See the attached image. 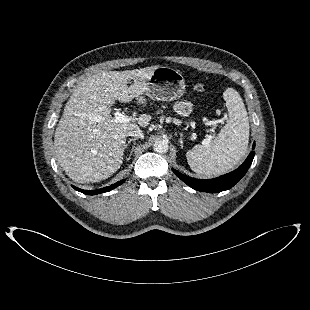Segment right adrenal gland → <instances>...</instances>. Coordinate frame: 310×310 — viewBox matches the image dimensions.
I'll list each match as a JSON object with an SVG mask.
<instances>
[{
	"instance_id": "2a0ac1e0",
	"label": "right adrenal gland",
	"mask_w": 310,
	"mask_h": 310,
	"mask_svg": "<svg viewBox=\"0 0 310 310\" xmlns=\"http://www.w3.org/2000/svg\"><path fill=\"white\" fill-rule=\"evenodd\" d=\"M136 140H137V138H131V139H129V141L125 144V149L127 148V146H128L131 142H134V144H135V141H136ZM131 155H132V151L130 152L129 157L127 158V160H130Z\"/></svg>"
}]
</instances>
